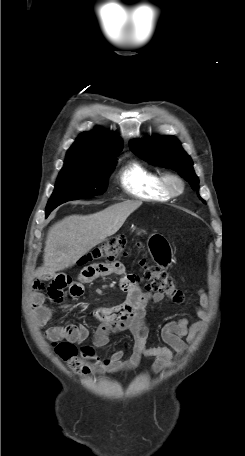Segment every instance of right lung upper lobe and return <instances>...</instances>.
I'll return each instance as SVG.
<instances>
[{"mask_svg": "<svg viewBox=\"0 0 245 456\" xmlns=\"http://www.w3.org/2000/svg\"><path fill=\"white\" fill-rule=\"evenodd\" d=\"M122 151V141L113 133L100 128L84 132L67 152L65 163L100 162L117 157Z\"/></svg>", "mask_w": 245, "mask_h": 456, "instance_id": "right-lung-upper-lobe-1", "label": "right lung upper lobe"}]
</instances>
